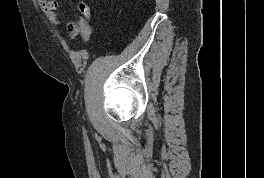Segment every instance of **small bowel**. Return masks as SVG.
Wrapping results in <instances>:
<instances>
[{"instance_id": "obj_1", "label": "small bowel", "mask_w": 264, "mask_h": 178, "mask_svg": "<svg viewBox=\"0 0 264 178\" xmlns=\"http://www.w3.org/2000/svg\"><path fill=\"white\" fill-rule=\"evenodd\" d=\"M40 8L48 18V20L54 24H60V18L57 13L59 4L55 0H37ZM82 26V19L80 18L78 22H68L67 31L69 34L74 32H78L80 27Z\"/></svg>"}]
</instances>
